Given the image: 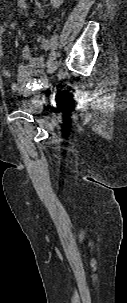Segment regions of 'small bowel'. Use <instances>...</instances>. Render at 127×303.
<instances>
[{
	"instance_id": "1",
	"label": "small bowel",
	"mask_w": 127,
	"mask_h": 303,
	"mask_svg": "<svg viewBox=\"0 0 127 303\" xmlns=\"http://www.w3.org/2000/svg\"><path fill=\"white\" fill-rule=\"evenodd\" d=\"M18 6L24 12L28 18V23L33 24L31 18L30 6L28 0H17ZM6 32V27L0 24V62L4 58V49L2 46V38ZM41 48L44 50V54L41 56H33L28 47H24L21 51V63L17 68V79L11 82V90L15 93L31 94L32 91L38 86L43 85L46 80L44 78V70L47 66L46 57L52 48L48 39L44 36L38 38ZM3 75L6 78L11 77V72L7 69L2 70Z\"/></svg>"
}]
</instances>
